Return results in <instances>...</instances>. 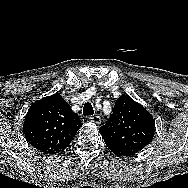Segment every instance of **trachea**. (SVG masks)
I'll list each match as a JSON object with an SVG mask.
<instances>
[{"instance_id": "1", "label": "trachea", "mask_w": 188, "mask_h": 188, "mask_svg": "<svg viewBox=\"0 0 188 188\" xmlns=\"http://www.w3.org/2000/svg\"><path fill=\"white\" fill-rule=\"evenodd\" d=\"M83 114L85 116H91L94 114V109L90 102L85 103V105L83 107Z\"/></svg>"}]
</instances>
